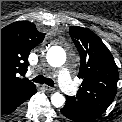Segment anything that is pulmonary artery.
I'll use <instances>...</instances> for the list:
<instances>
[{
  "label": "pulmonary artery",
  "mask_w": 122,
  "mask_h": 122,
  "mask_svg": "<svg viewBox=\"0 0 122 122\" xmlns=\"http://www.w3.org/2000/svg\"><path fill=\"white\" fill-rule=\"evenodd\" d=\"M57 76L58 83L65 93L69 95H73L76 93V86L72 82L69 70L67 68L60 69L57 73Z\"/></svg>",
  "instance_id": "e3ab8cb5"
}]
</instances>
